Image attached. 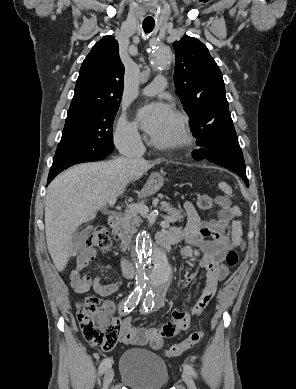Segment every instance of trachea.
<instances>
[{
  "mask_svg": "<svg viewBox=\"0 0 296 389\" xmlns=\"http://www.w3.org/2000/svg\"><path fill=\"white\" fill-rule=\"evenodd\" d=\"M154 23H143L142 27L146 34L150 33L154 29Z\"/></svg>",
  "mask_w": 296,
  "mask_h": 389,
  "instance_id": "trachea-1",
  "label": "trachea"
}]
</instances>
